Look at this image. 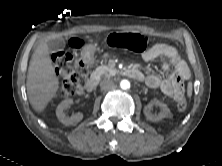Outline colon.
Returning a JSON list of instances; mask_svg holds the SVG:
<instances>
[{"label": "colon", "instance_id": "colon-1", "mask_svg": "<svg viewBox=\"0 0 222 166\" xmlns=\"http://www.w3.org/2000/svg\"><path fill=\"white\" fill-rule=\"evenodd\" d=\"M107 44L114 48H124L134 52H142L148 45L147 37L133 33H113L108 36ZM73 49L82 46V42L73 39L70 42ZM56 72L63 78L62 95L70 97L82 94L87 83V68L85 64L70 53L60 51L52 57ZM177 107L184 111L187 102L184 97L177 101Z\"/></svg>", "mask_w": 222, "mask_h": 166}]
</instances>
